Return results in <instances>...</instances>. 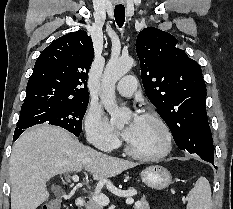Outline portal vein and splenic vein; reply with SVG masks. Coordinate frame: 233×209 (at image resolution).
Instances as JSON below:
<instances>
[{
	"mask_svg": "<svg viewBox=\"0 0 233 209\" xmlns=\"http://www.w3.org/2000/svg\"><path fill=\"white\" fill-rule=\"evenodd\" d=\"M72 180L74 182H78L79 181V176L73 175L72 176ZM92 199L95 202H97L98 204H101L103 206L108 205L109 202H110L109 198L106 195L102 194V193H94V194H92ZM133 203H134V199L133 198L129 197V198L126 199V204L131 205Z\"/></svg>",
	"mask_w": 233,
	"mask_h": 209,
	"instance_id": "18ae733b",
	"label": "portal vein and splenic vein"
}]
</instances>
